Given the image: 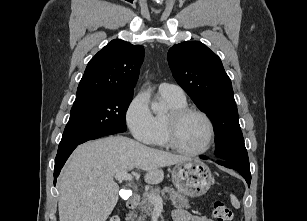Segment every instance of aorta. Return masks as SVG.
Here are the masks:
<instances>
[{"label": "aorta", "mask_w": 307, "mask_h": 221, "mask_svg": "<svg viewBox=\"0 0 307 221\" xmlns=\"http://www.w3.org/2000/svg\"><path fill=\"white\" fill-rule=\"evenodd\" d=\"M151 109L154 113H163L166 110L164 105L156 102L151 104Z\"/></svg>", "instance_id": "762f6f07"}]
</instances>
